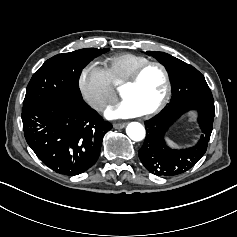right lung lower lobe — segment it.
<instances>
[{
	"mask_svg": "<svg viewBox=\"0 0 237 237\" xmlns=\"http://www.w3.org/2000/svg\"><path fill=\"white\" fill-rule=\"evenodd\" d=\"M27 143L53 171L73 176L92 167L112 128L82 98L62 97L22 109Z\"/></svg>",
	"mask_w": 237,
	"mask_h": 237,
	"instance_id": "obj_1",
	"label": "right lung lower lobe"
}]
</instances>
